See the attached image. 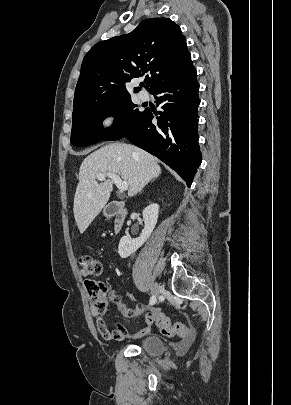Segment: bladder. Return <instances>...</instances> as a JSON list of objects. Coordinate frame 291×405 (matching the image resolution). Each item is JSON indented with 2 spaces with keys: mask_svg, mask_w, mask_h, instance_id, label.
<instances>
[{
  "mask_svg": "<svg viewBox=\"0 0 291 405\" xmlns=\"http://www.w3.org/2000/svg\"><path fill=\"white\" fill-rule=\"evenodd\" d=\"M138 347L153 357L160 356L165 351L164 341L156 335H148L142 338L138 343Z\"/></svg>",
  "mask_w": 291,
  "mask_h": 405,
  "instance_id": "bladder-1",
  "label": "bladder"
}]
</instances>
